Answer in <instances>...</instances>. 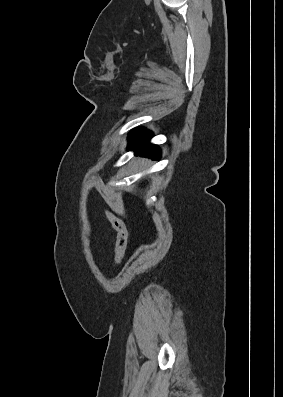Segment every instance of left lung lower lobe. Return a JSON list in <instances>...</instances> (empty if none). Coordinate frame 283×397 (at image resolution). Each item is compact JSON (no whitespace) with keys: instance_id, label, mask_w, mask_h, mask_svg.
<instances>
[{"instance_id":"1","label":"left lung lower lobe","mask_w":283,"mask_h":397,"mask_svg":"<svg viewBox=\"0 0 283 397\" xmlns=\"http://www.w3.org/2000/svg\"><path fill=\"white\" fill-rule=\"evenodd\" d=\"M152 134L144 128H136L129 135V150H135L136 155L147 156L153 159L160 158V149L156 145H151L148 141Z\"/></svg>"}]
</instances>
